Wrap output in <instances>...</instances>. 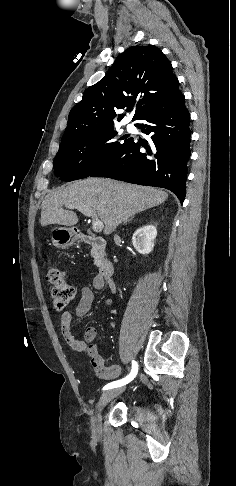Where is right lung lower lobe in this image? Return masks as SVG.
I'll return each instance as SVG.
<instances>
[{"label": "right lung lower lobe", "mask_w": 236, "mask_h": 486, "mask_svg": "<svg viewBox=\"0 0 236 486\" xmlns=\"http://www.w3.org/2000/svg\"><path fill=\"white\" fill-rule=\"evenodd\" d=\"M138 120L147 121L136 126L151 134V141L141 144L132 139L89 176L163 187L175 193L182 203L186 195L191 137L184 95L151 105ZM141 145L146 148L145 153L140 152Z\"/></svg>", "instance_id": "obj_1"}]
</instances>
